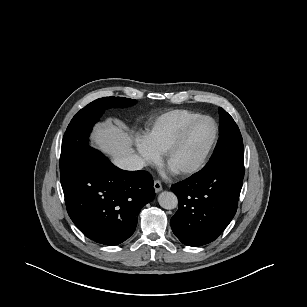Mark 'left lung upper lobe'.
Wrapping results in <instances>:
<instances>
[{
    "instance_id": "left-lung-upper-lobe-1",
    "label": "left lung upper lobe",
    "mask_w": 307,
    "mask_h": 307,
    "mask_svg": "<svg viewBox=\"0 0 307 307\" xmlns=\"http://www.w3.org/2000/svg\"><path fill=\"white\" fill-rule=\"evenodd\" d=\"M219 139L209 162L202 170L223 169L244 177L243 140L238 126L223 108H219Z\"/></svg>"
}]
</instances>
